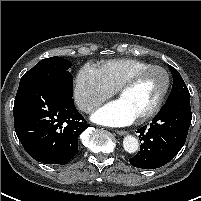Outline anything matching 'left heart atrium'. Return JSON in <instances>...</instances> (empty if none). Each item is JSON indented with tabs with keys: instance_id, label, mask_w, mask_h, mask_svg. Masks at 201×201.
<instances>
[{
	"instance_id": "left-heart-atrium-1",
	"label": "left heart atrium",
	"mask_w": 201,
	"mask_h": 201,
	"mask_svg": "<svg viewBox=\"0 0 201 201\" xmlns=\"http://www.w3.org/2000/svg\"><path fill=\"white\" fill-rule=\"evenodd\" d=\"M136 118L134 112L121 99L105 105L93 115L94 121L112 127L129 125Z\"/></svg>"
}]
</instances>
